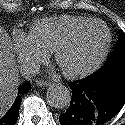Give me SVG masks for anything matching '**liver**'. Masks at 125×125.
Here are the masks:
<instances>
[{"label": "liver", "instance_id": "1", "mask_svg": "<svg viewBox=\"0 0 125 125\" xmlns=\"http://www.w3.org/2000/svg\"><path fill=\"white\" fill-rule=\"evenodd\" d=\"M19 86L15 60L8 33L0 25V117L17 96Z\"/></svg>", "mask_w": 125, "mask_h": 125}]
</instances>
